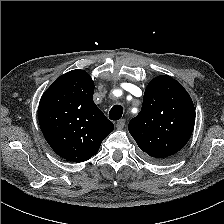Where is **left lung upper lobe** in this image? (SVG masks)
I'll return each mask as SVG.
<instances>
[{"mask_svg":"<svg viewBox=\"0 0 224 224\" xmlns=\"http://www.w3.org/2000/svg\"><path fill=\"white\" fill-rule=\"evenodd\" d=\"M194 124L195 108L187 91L172 77L160 75L148 84L141 111L128 129L149 159L164 162L186 145Z\"/></svg>","mask_w":224,"mask_h":224,"instance_id":"obj_1","label":"left lung upper lobe"}]
</instances>
